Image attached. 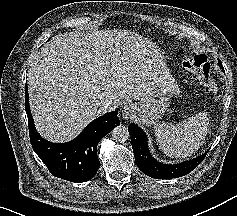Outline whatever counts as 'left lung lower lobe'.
I'll use <instances>...</instances> for the list:
<instances>
[{"mask_svg":"<svg viewBox=\"0 0 237 216\" xmlns=\"http://www.w3.org/2000/svg\"><path fill=\"white\" fill-rule=\"evenodd\" d=\"M128 131L138 168L146 175L155 179H172L188 174L194 170L205 158L204 155L193 160L175 165L157 162L150 154L145 133L135 124H130Z\"/></svg>","mask_w":237,"mask_h":216,"instance_id":"left-lung-lower-lobe-1","label":"left lung lower lobe"}]
</instances>
